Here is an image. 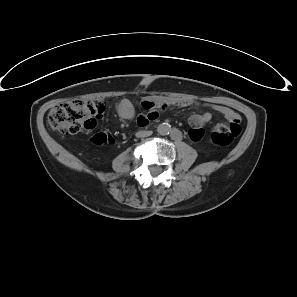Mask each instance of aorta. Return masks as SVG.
<instances>
[{"label": "aorta", "instance_id": "aorta-1", "mask_svg": "<svg viewBox=\"0 0 297 297\" xmlns=\"http://www.w3.org/2000/svg\"><path fill=\"white\" fill-rule=\"evenodd\" d=\"M171 126L168 123H162L157 126V132L160 135H167L169 134Z\"/></svg>", "mask_w": 297, "mask_h": 297}]
</instances>
